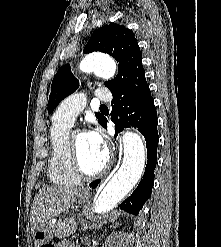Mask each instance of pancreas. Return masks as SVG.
Here are the masks:
<instances>
[{
  "instance_id": "pancreas-1",
  "label": "pancreas",
  "mask_w": 221,
  "mask_h": 247,
  "mask_svg": "<svg viewBox=\"0 0 221 247\" xmlns=\"http://www.w3.org/2000/svg\"><path fill=\"white\" fill-rule=\"evenodd\" d=\"M53 232L56 237L64 238L68 237L71 234H74L77 230V225L72 218H67L63 221H58L52 226Z\"/></svg>"
}]
</instances>
